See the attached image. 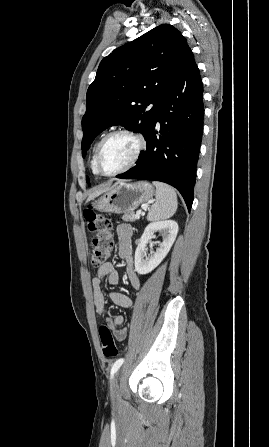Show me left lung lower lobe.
Instances as JSON below:
<instances>
[{
  "label": "left lung lower lobe",
  "mask_w": 269,
  "mask_h": 447,
  "mask_svg": "<svg viewBox=\"0 0 269 447\" xmlns=\"http://www.w3.org/2000/svg\"><path fill=\"white\" fill-rule=\"evenodd\" d=\"M203 118V84L189 48L146 133V151L141 152L135 167L117 178L170 184L181 193L190 210Z\"/></svg>",
  "instance_id": "obj_1"
}]
</instances>
